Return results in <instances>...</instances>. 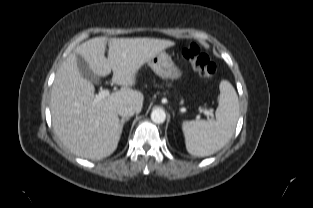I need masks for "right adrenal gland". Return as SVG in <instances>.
<instances>
[{"instance_id":"1","label":"right adrenal gland","mask_w":313,"mask_h":208,"mask_svg":"<svg viewBox=\"0 0 313 208\" xmlns=\"http://www.w3.org/2000/svg\"><path fill=\"white\" fill-rule=\"evenodd\" d=\"M129 119H130L129 117H126V118H122V119L120 120V130H121V131H122V129H123V126H124L125 122H127Z\"/></svg>"}]
</instances>
